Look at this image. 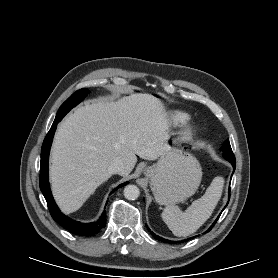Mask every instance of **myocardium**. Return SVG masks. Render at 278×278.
Here are the masks:
<instances>
[{"mask_svg": "<svg viewBox=\"0 0 278 278\" xmlns=\"http://www.w3.org/2000/svg\"><path fill=\"white\" fill-rule=\"evenodd\" d=\"M194 132H195L194 127L188 126V127L185 129L183 135H184L185 138H190V137L193 136Z\"/></svg>", "mask_w": 278, "mask_h": 278, "instance_id": "f54148a6", "label": "myocardium"}]
</instances>
